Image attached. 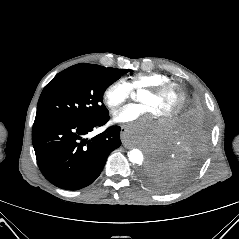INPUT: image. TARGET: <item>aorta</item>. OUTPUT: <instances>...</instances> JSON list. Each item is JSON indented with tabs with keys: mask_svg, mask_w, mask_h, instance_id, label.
<instances>
[{
	"mask_svg": "<svg viewBox=\"0 0 239 239\" xmlns=\"http://www.w3.org/2000/svg\"><path fill=\"white\" fill-rule=\"evenodd\" d=\"M129 161L133 164L141 165L144 161V155L139 149H132L128 153Z\"/></svg>",
	"mask_w": 239,
	"mask_h": 239,
	"instance_id": "762f6f07",
	"label": "aorta"
}]
</instances>
